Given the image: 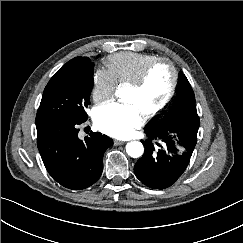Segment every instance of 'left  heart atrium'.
<instances>
[{
  "mask_svg": "<svg viewBox=\"0 0 243 243\" xmlns=\"http://www.w3.org/2000/svg\"><path fill=\"white\" fill-rule=\"evenodd\" d=\"M144 119L143 113L133 103L111 102L99 106L94 112L96 127L113 137L124 138L139 127Z\"/></svg>",
  "mask_w": 243,
  "mask_h": 243,
  "instance_id": "obj_1",
  "label": "left heart atrium"
}]
</instances>
